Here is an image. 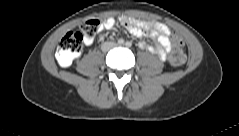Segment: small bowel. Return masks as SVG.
<instances>
[{
    "instance_id": "c3829d8e",
    "label": "small bowel",
    "mask_w": 239,
    "mask_h": 136,
    "mask_svg": "<svg viewBox=\"0 0 239 136\" xmlns=\"http://www.w3.org/2000/svg\"><path fill=\"white\" fill-rule=\"evenodd\" d=\"M121 24L127 29V31L135 37L149 36L156 38L158 45L156 47L142 44L141 46L150 52L156 53L161 60H166L167 55L171 49L170 44V29L158 22H147L141 20H135L128 16L120 17ZM115 26L113 19H108L100 25V30H110ZM84 44L90 46L93 44V38H85Z\"/></svg>"
}]
</instances>
